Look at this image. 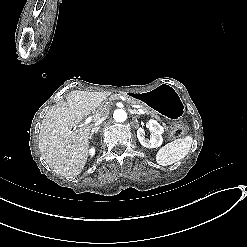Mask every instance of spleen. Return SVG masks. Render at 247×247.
Masks as SVG:
<instances>
[{"instance_id":"obj_1","label":"spleen","mask_w":247,"mask_h":247,"mask_svg":"<svg viewBox=\"0 0 247 247\" xmlns=\"http://www.w3.org/2000/svg\"><path fill=\"white\" fill-rule=\"evenodd\" d=\"M192 136L179 138L161 147L156 154V162L161 166L172 165L183 159L190 151Z\"/></svg>"}]
</instances>
